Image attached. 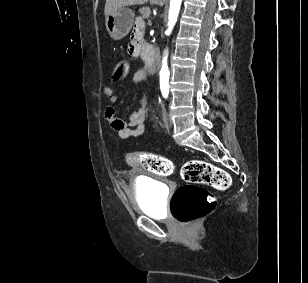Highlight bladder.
Listing matches in <instances>:
<instances>
[{
    "instance_id": "obj_1",
    "label": "bladder",
    "mask_w": 308,
    "mask_h": 283,
    "mask_svg": "<svg viewBox=\"0 0 308 283\" xmlns=\"http://www.w3.org/2000/svg\"><path fill=\"white\" fill-rule=\"evenodd\" d=\"M134 196L139 210L153 218L166 216L165 191L155 179L141 176L133 182Z\"/></svg>"
}]
</instances>
